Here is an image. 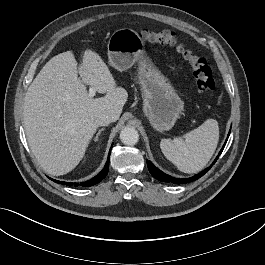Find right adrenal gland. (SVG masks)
Returning a JSON list of instances; mask_svg holds the SVG:
<instances>
[{
    "instance_id": "obj_1",
    "label": "right adrenal gland",
    "mask_w": 265,
    "mask_h": 265,
    "mask_svg": "<svg viewBox=\"0 0 265 265\" xmlns=\"http://www.w3.org/2000/svg\"><path fill=\"white\" fill-rule=\"evenodd\" d=\"M103 130H104V128H101V129L98 131V133H97V135H96L94 141H98L99 135L101 134V132H102Z\"/></svg>"
}]
</instances>
